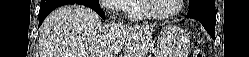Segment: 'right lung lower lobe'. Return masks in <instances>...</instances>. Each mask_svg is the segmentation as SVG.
I'll list each match as a JSON object with an SVG mask.
<instances>
[{
    "instance_id": "right-lung-lower-lobe-1",
    "label": "right lung lower lobe",
    "mask_w": 249,
    "mask_h": 57,
    "mask_svg": "<svg viewBox=\"0 0 249 57\" xmlns=\"http://www.w3.org/2000/svg\"><path fill=\"white\" fill-rule=\"evenodd\" d=\"M81 4L92 8L96 11L103 19H105V13L100 7H94L87 4L84 0H41L40 11H39V26L42 24L43 20L47 15L53 11L55 8L66 4Z\"/></svg>"
}]
</instances>
